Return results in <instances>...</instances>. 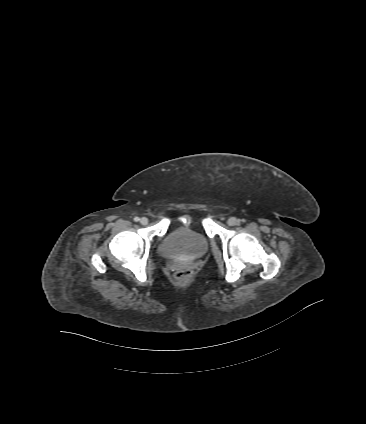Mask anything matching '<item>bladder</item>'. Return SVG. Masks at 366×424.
<instances>
[{
  "label": "bladder",
  "mask_w": 366,
  "mask_h": 424,
  "mask_svg": "<svg viewBox=\"0 0 366 424\" xmlns=\"http://www.w3.org/2000/svg\"><path fill=\"white\" fill-rule=\"evenodd\" d=\"M209 247L204 233L188 226L169 231L159 245V251L169 258L192 259L202 256Z\"/></svg>",
  "instance_id": "bladder-1"
}]
</instances>
